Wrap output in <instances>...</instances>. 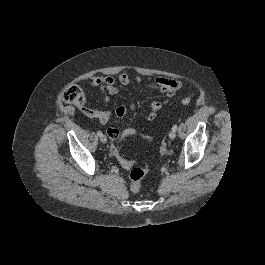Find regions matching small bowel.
<instances>
[{"instance_id":"c3829d8e","label":"small bowel","mask_w":265,"mask_h":265,"mask_svg":"<svg viewBox=\"0 0 265 265\" xmlns=\"http://www.w3.org/2000/svg\"><path fill=\"white\" fill-rule=\"evenodd\" d=\"M88 80H89V85L100 89L102 93V100L105 103L109 102L110 96L116 95L119 92L117 82H119L121 85L124 86L130 83V77L125 72L120 73L116 79L113 76L96 75V76H91ZM136 80L139 83L142 82V79L140 77H136ZM147 86L149 88L158 89L161 92L166 93L167 96L172 97L181 88V82L174 79L158 77L153 81H151L150 83H148ZM165 103L166 102H158V101L152 102L147 112V118L149 120L155 119L157 113L162 109ZM134 108H135L134 105H131V109L133 110ZM83 111L89 117L98 119V121L101 124L108 123V121L113 115V113L109 110L98 111V110L84 109ZM114 114L118 118L124 117L126 114L125 106L124 105L117 106L116 109L114 110ZM113 129L118 130L116 128Z\"/></svg>"}]
</instances>
